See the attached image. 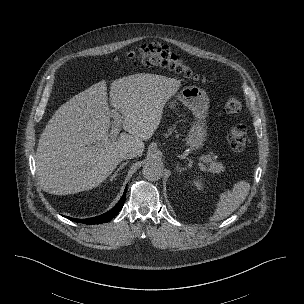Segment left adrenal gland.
<instances>
[{"label": "left adrenal gland", "mask_w": 304, "mask_h": 304, "mask_svg": "<svg viewBox=\"0 0 304 304\" xmlns=\"http://www.w3.org/2000/svg\"><path fill=\"white\" fill-rule=\"evenodd\" d=\"M177 171L181 172L182 170H184V167H181L179 163H177Z\"/></svg>", "instance_id": "a2214340"}]
</instances>
